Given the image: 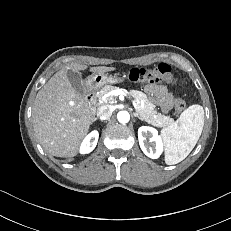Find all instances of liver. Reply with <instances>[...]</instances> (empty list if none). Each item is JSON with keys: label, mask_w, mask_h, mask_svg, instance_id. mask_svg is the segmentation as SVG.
<instances>
[{"label": "liver", "mask_w": 231, "mask_h": 231, "mask_svg": "<svg viewBox=\"0 0 231 231\" xmlns=\"http://www.w3.org/2000/svg\"><path fill=\"white\" fill-rule=\"evenodd\" d=\"M87 66L71 63L39 90L32 109L35 135L42 147L56 157H74L89 132L95 110L71 85L67 71L79 72ZM115 67H91L93 73L114 71Z\"/></svg>", "instance_id": "6515ba94"}]
</instances>
